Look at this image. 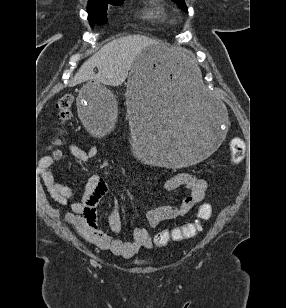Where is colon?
<instances>
[{
    "label": "colon",
    "mask_w": 286,
    "mask_h": 308,
    "mask_svg": "<svg viewBox=\"0 0 286 308\" xmlns=\"http://www.w3.org/2000/svg\"><path fill=\"white\" fill-rule=\"evenodd\" d=\"M74 97L71 93L64 94L59 98L56 103L57 116L60 123H66L72 114ZM230 160L233 165H238L242 162L245 156V143L239 137H234L230 141ZM58 155H56L57 157ZM212 214V207L209 204H203L198 210V217L200 219H208ZM201 230V225L199 221L183 225L181 227L175 228L172 231H161L156 234L154 238V243L158 247H163L167 245L171 240H182L187 238H192L196 236Z\"/></svg>",
    "instance_id": "1"
}]
</instances>
